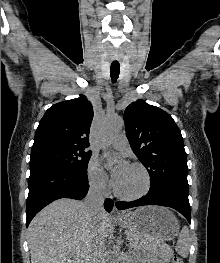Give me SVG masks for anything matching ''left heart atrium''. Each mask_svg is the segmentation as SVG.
I'll use <instances>...</instances> for the list:
<instances>
[{
    "instance_id": "left-heart-atrium-1",
    "label": "left heart atrium",
    "mask_w": 220,
    "mask_h": 263,
    "mask_svg": "<svg viewBox=\"0 0 220 263\" xmlns=\"http://www.w3.org/2000/svg\"><path fill=\"white\" fill-rule=\"evenodd\" d=\"M129 167V164L126 160L120 159L115 166V168L112 170V177L114 179V182H116L122 174L126 171V169Z\"/></svg>"
}]
</instances>
